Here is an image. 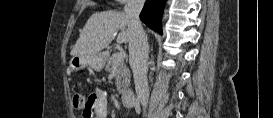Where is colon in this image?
<instances>
[{"label":"colon","instance_id":"1","mask_svg":"<svg viewBox=\"0 0 273 118\" xmlns=\"http://www.w3.org/2000/svg\"><path fill=\"white\" fill-rule=\"evenodd\" d=\"M73 107L76 110H82L83 114L87 110L88 101H86L85 97L81 93H75L72 98Z\"/></svg>","mask_w":273,"mask_h":118}]
</instances>
